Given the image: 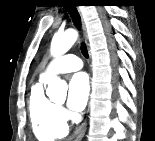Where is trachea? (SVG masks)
<instances>
[{
	"instance_id": "1",
	"label": "trachea",
	"mask_w": 155,
	"mask_h": 141,
	"mask_svg": "<svg viewBox=\"0 0 155 141\" xmlns=\"http://www.w3.org/2000/svg\"><path fill=\"white\" fill-rule=\"evenodd\" d=\"M64 7L67 10V12L70 14V16H71L72 21L74 22V24L77 27H80L81 26V18H80V15H79L76 7L73 6V5H66ZM81 52H82V54H83L84 57H86V58L89 57L88 51H87V47H86L85 44H82L81 45Z\"/></svg>"
}]
</instances>
